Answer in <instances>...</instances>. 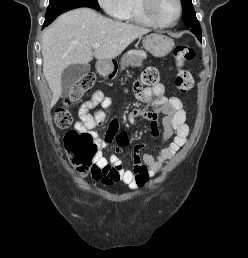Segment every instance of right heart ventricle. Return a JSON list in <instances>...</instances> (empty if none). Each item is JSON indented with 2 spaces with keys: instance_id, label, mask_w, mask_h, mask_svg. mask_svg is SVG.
I'll return each mask as SVG.
<instances>
[{
  "instance_id": "right-heart-ventricle-1",
  "label": "right heart ventricle",
  "mask_w": 248,
  "mask_h": 258,
  "mask_svg": "<svg viewBox=\"0 0 248 258\" xmlns=\"http://www.w3.org/2000/svg\"><path fill=\"white\" fill-rule=\"evenodd\" d=\"M120 19L141 25L152 26L142 11L141 0H127L125 11Z\"/></svg>"
}]
</instances>
